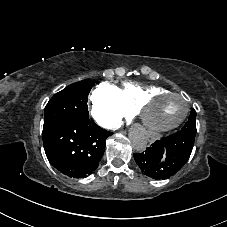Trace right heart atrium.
<instances>
[{"label": "right heart atrium", "mask_w": 227, "mask_h": 227, "mask_svg": "<svg viewBox=\"0 0 227 227\" xmlns=\"http://www.w3.org/2000/svg\"><path fill=\"white\" fill-rule=\"evenodd\" d=\"M91 103V115L106 129L118 128L130 113L122 102L119 88L110 82H102L94 88Z\"/></svg>", "instance_id": "1"}]
</instances>
